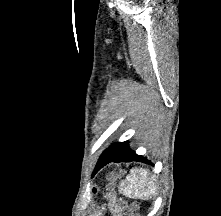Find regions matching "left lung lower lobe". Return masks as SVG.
<instances>
[{"label": "left lung lower lobe", "mask_w": 221, "mask_h": 216, "mask_svg": "<svg viewBox=\"0 0 221 216\" xmlns=\"http://www.w3.org/2000/svg\"><path fill=\"white\" fill-rule=\"evenodd\" d=\"M130 161H140L149 163V161L146 158H143L141 155H137L134 151H132L129 148V145H127L122 151L114 154L110 152H104L94 169L93 175L96 174L103 166L110 162H130Z\"/></svg>", "instance_id": "1"}]
</instances>
